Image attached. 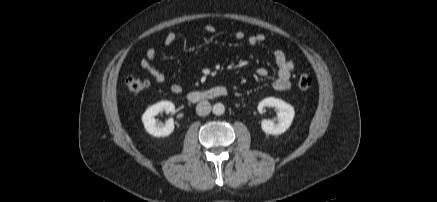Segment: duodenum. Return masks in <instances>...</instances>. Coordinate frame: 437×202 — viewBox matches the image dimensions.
<instances>
[{"label":"duodenum","instance_id":"1","mask_svg":"<svg viewBox=\"0 0 437 202\" xmlns=\"http://www.w3.org/2000/svg\"><path fill=\"white\" fill-rule=\"evenodd\" d=\"M227 95V89L224 86H215L204 90H194L187 94V98L192 102L211 100Z\"/></svg>","mask_w":437,"mask_h":202}]
</instances>
